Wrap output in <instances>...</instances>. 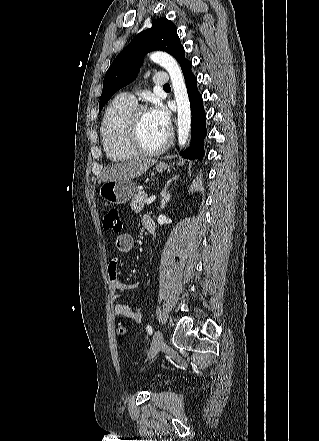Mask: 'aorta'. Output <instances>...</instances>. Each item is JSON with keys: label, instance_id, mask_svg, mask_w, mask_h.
Returning a JSON list of instances; mask_svg holds the SVG:
<instances>
[{"label": "aorta", "instance_id": "762f6f07", "mask_svg": "<svg viewBox=\"0 0 319 441\" xmlns=\"http://www.w3.org/2000/svg\"><path fill=\"white\" fill-rule=\"evenodd\" d=\"M149 58L164 67L171 78L178 112V143L184 147L188 141L191 125L190 102L182 70L177 61L164 51H155Z\"/></svg>", "mask_w": 319, "mask_h": 441}]
</instances>
